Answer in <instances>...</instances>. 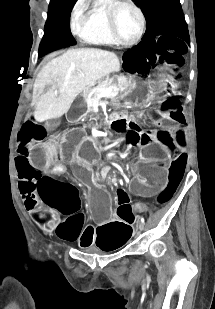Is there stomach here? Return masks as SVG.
I'll list each match as a JSON object with an SVG mask.
<instances>
[{"label": "stomach", "mask_w": 215, "mask_h": 309, "mask_svg": "<svg viewBox=\"0 0 215 309\" xmlns=\"http://www.w3.org/2000/svg\"><path fill=\"white\" fill-rule=\"evenodd\" d=\"M168 87H177V81L168 73V69L162 68L155 75L154 79L142 80L135 78L128 88L122 92V98L129 102L145 100L152 93H161Z\"/></svg>", "instance_id": "obj_1"}]
</instances>
